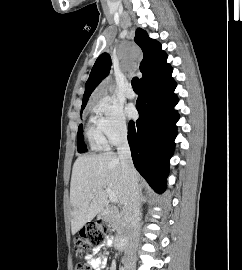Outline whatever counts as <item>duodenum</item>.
I'll list each match as a JSON object with an SVG mask.
<instances>
[{
  "label": "duodenum",
  "instance_id": "1",
  "mask_svg": "<svg viewBox=\"0 0 242 270\" xmlns=\"http://www.w3.org/2000/svg\"><path fill=\"white\" fill-rule=\"evenodd\" d=\"M109 213V209H105L102 210L101 212H99V216L101 218L105 217L107 214ZM116 245L119 249L124 250L126 248L127 245V238L126 236L122 235L120 236L117 241H116Z\"/></svg>",
  "mask_w": 242,
  "mask_h": 270
}]
</instances>
